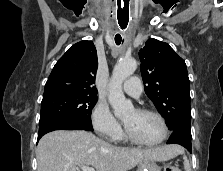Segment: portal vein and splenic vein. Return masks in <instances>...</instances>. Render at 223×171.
<instances>
[{
    "label": "portal vein and splenic vein",
    "mask_w": 223,
    "mask_h": 171,
    "mask_svg": "<svg viewBox=\"0 0 223 171\" xmlns=\"http://www.w3.org/2000/svg\"><path fill=\"white\" fill-rule=\"evenodd\" d=\"M82 171H95L93 167H88V166H80Z\"/></svg>",
    "instance_id": "obj_1"
}]
</instances>
